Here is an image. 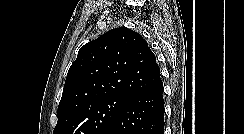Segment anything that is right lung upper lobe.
Masks as SVG:
<instances>
[{"label":"right lung upper lobe","mask_w":244,"mask_h":134,"mask_svg":"<svg viewBox=\"0 0 244 134\" xmlns=\"http://www.w3.org/2000/svg\"><path fill=\"white\" fill-rule=\"evenodd\" d=\"M162 82L156 57L143 37L116 28L80 48L70 66L58 120L109 97L130 98Z\"/></svg>","instance_id":"obj_1"}]
</instances>
